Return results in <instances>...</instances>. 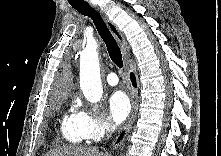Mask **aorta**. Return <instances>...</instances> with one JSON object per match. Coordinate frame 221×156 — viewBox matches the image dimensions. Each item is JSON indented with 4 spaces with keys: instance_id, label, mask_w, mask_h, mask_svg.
I'll return each mask as SVG.
<instances>
[{
    "instance_id": "aorta-1",
    "label": "aorta",
    "mask_w": 221,
    "mask_h": 156,
    "mask_svg": "<svg viewBox=\"0 0 221 156\" xmlns=\"http://www.w3.org/2000/svg\"><path fill=\"white\" fill-rule=\"evenodd\" d=\"M80 87L85 98L91 103H97L103 95L100 79V67L97 53V42L90 40L81 52Z\"/></svg>"
}]
</instances>
